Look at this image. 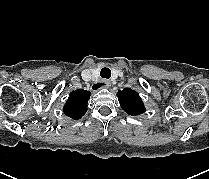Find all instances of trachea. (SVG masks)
Wrapping results in <instances>:
<instances>
[{"mask_svg": "<svg viewBox=\"0 0 209 179\" xmlns=\"http://www.w3.org/2000/svg\"><path fill=\"white\" fill-rule=\"evenodd\" d=\"M100 75L102 78L109 79L111 77V70L107 67L102 68Z\"/></svg>", "mask_w": 209, "mask_h": 179, "instance_id": "1", "label": "trachea"}]
</instances>
